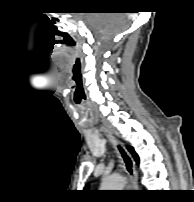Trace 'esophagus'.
<instances>
[{"instance_id":"obj_1","label":"esophagus","mask_w":194,"mask_h":202,"mask_svg":"<svg viewBox=\"0 0 194 202\" xmlns=\"http://www.w3.org/2000/svg\"><path fill=\"white\" fill-rule=\"evenodd\" d=\"M107 135L111 142L113 143L116 151L118 152L121 161L123 163V167L129 177L130 187L138 186V174L135 167V162L131 155L128 153L124 145L118 141L111 133L107 132Z\"/></svg>"}]
</instances>
